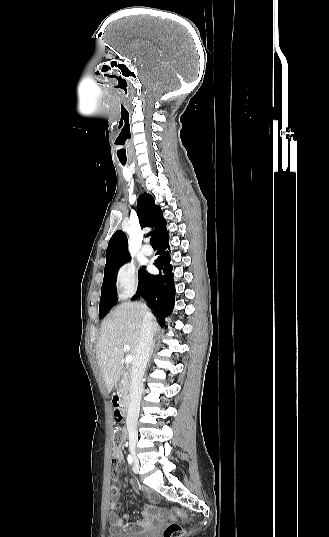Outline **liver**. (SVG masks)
I'll return each instance as SVG.
<instances>
[{
	"instance_id": "liver-1",
	"label": "liver",
	"mask_w": 329,
	"mask_h": 537,
	"mask_svg": "<svg viewBox=\"0 0 329 537\" xmlns=\"http://www.w3.org/2000/svg\"><path fill=\"white\" fill-rule=\"evenodd\" d=\"M144 307L140 303L124 302L116 307L101 325L96 356L108 393L120 379L125 344L130 346V355L135 356L145 312ZM150 315L153 331L156 333L160 328L154 316L151 313Z\"/></svg>"
}]
</instances>
